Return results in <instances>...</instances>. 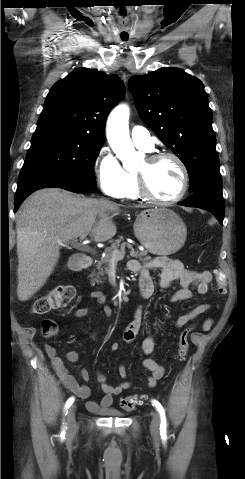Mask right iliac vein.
Here are the masks:
<instances>
[{
  "label": "right iliac vein",
  "mask_w": 245,
  "mask_h": 479,
  "mask_svg": "<svg viewBox=\"0 0 245 479\" xmlns=\"http://www.w3.org/2000/svg\"><path fill=\"white\" fill-rule=\"evenodd\" d=\"M67 427H68V433H74L77 429V422L75 418V406H72L69 408L68 414H67Z\"/></svg>",
  "instance_id": "1"
}]
</instances>
